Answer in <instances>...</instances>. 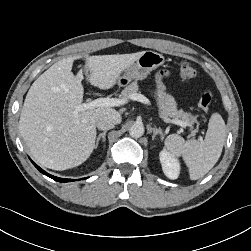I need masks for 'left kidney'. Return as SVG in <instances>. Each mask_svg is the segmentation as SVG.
Here are the masks:
<instances>
[{"label":"left kidney","mask_w":251,"mask_h":251,"mask_svg":"<svg viewBox=\"0 0 251 251\" xmlns=\"http://www.w3.org/2000/svg\"><path fill=\"white\" fill-rule=\"evenodd\" d=\"M159 157L164 174L169 179H177L180 172V164L178 160L166 150H162Z\"/></svg>","instance_id":"5707ae66"}]
</instances>
